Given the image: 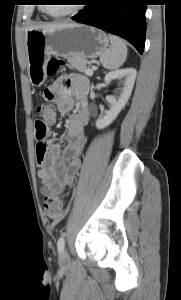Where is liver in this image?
Returning <instances> with one entry per match:
<instances>
[{
	"instance_id": "6515ba94",
	"label": "liver",
	"mask_w": 181,
	"mask_h": 300,
	"mask_svg": "<svg viewBox=\"0 0 181 300\" xmlns=\"http://www.w3.org/2000/svg\"><path fill=\"white\" fill-rule=\"evenodd\" d=\"M71 24L69 23H53V24H41V25H35L33 27H30L29 30L35 29V30H43L44 32H52L56 29L67 27Z\"/></svg>"
}]
</instances>
